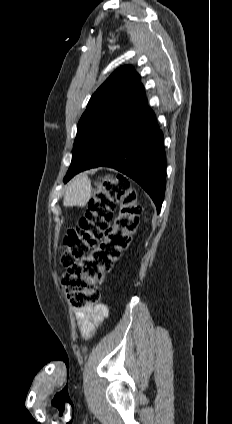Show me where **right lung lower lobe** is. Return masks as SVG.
<instances>
[{"label": "right lung lower lobe", "mask_w": 232, "mask_h": 424, "mask_svg": "<svg viewBox=\"0 0 232 424\" xmlns=\"http://www.w3.org/2000/svg\"><path fill=\"white\" fill-rule=\"evenodd\" d=\"M131 116L130 122L116 128L101 142L79 172L106 166L124 173L150 195L159 213L166 186L163 134L147 102L134 107Z\"/></svg>", "instance_id": "1"}]
</instances>
